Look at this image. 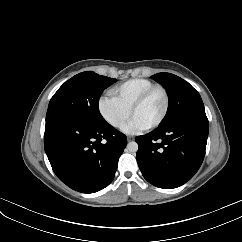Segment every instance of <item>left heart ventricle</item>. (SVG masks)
Instances as JSON below:
<instances>
[{
  "label": "left heart ventricle",
  "instance_id": "obj_1",
  "mask_svg": "<svg viewBox=\"0 0 242 242\" xmlns=\"http://www.w3.org/2000/svg\"><path fill=\"white\" fill-rule=\"evenodd\" d=\"M163 108L164 96L162 92L157 90L153 92L139 108L136 109L133 117L148 127L158 120L162 114Z\"/></svg>",
  "mask_w": 242,
  "mask_h": 242
}]
</instances>
